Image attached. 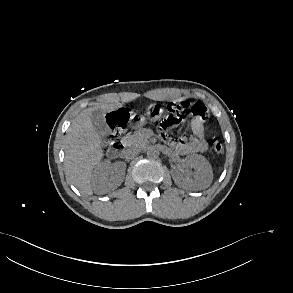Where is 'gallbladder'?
<instances>
[{"mask_svg": "<svg viewBox=\"0 0 293 293\" xmlns=\"http://www.w3.org/2000/svg\"><path fill=\"white\" fill-rule=\"evenodd\" d=\"M92 124L99 135L106 137L109 134V128L104 120V111L95 110L91 116Z\"/></svg>", "mask_w": 293, "mask_h": 293, "instance_id": "obj_1", "label": "gallbladder"}]
</instances>
